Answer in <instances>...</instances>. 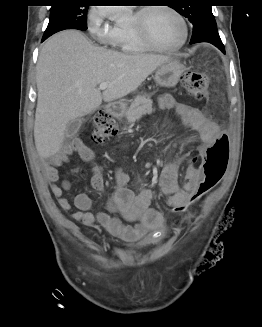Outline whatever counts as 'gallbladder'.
<instances>
[{
  "instance_id": "bac80fb5",
  "label": "gallbladder",
  "mask_w": 262,
  "mask_h": 327,
  "mask_svg": "<svg viewBox=\"0 0 262 327\" xmlns=\"http://www.w3.org/2000/svg\"><path fill=\"white\" fill-rule=\"evenodd\" d=\"M81 125H82L81 118H76L70 121L66 127V131H65L66 136L67 137L74 136L79 131Z\"/></svg>"
}]
</instances>
